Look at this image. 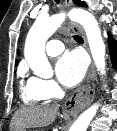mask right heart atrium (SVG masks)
<instances>
[{
  "label": "right heart atrium",
  "instance_id": "right-heart-atrium-1",
  "mask_svg": "<svg viewBox=\"0 0 117 131\" xmlns=\"http://www.w3.org/2000/svg\"><path fill=\"white\" fill-rule=\"evenodd\" d=\"M38 83L41 90L48 98H55L61 92L59 85L53 80L38 79Z\"/></svg>",
  "mask_w": 117,
  "mask_h": 131
}]
</instances>
